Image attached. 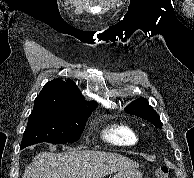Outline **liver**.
<instances>
[{"mask_svg": "<svg viewBox=\"0 0 194 178\" xmlns=\"http://www.w3.org/2000/svg\"><path fill=\"white\" fill-rule=\"evenodd\" d=\"M138 166L123 155L104 151L41 152L34 157L22 178H103Z\"/></svg>", "mask_w": 194, "mask_h": 178, "instance_id": "obj_1", "label": "liver"}]
</instances>
